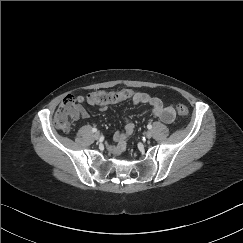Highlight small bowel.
Masks as SVG:
<instances>
[{"mask_svg":"<svg viewBox=\"0 0 243 243\" xmlns=\"http://www.w3.org/2000/svg\"><path fill=\"white\" fill-rule=\"evenodd\" d=\"M129 90V89H128ZM131 95L129 98L132 99L133 103L138 104H146L150 106L152 114L159 118L164 123H171L175 119V109L173 105L167 104L163 102L161 99L151 96L147 93L133 91L130 90ZM77 100L80 103H84L85 101L92 105H99L101 108L106 107L104 103L93 102L89 97L86 99L83 96H78ZM81 115L83 117L87 116V112L82 109ZM134 130V124L129 119L125 120L124 130L117 131L114 134V143L107 144L108 149L114 153L115 155L122 154L127 146L128 138L131 136Z\"/></svg>","mask_w":243,"mask_h":243,"instance_id":"c3829d8e","label":"small bowel"}]
</instances>
